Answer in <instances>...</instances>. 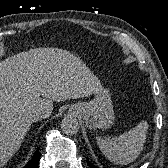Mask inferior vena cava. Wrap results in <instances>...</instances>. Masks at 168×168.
Segmentation results:
<instances>
[{
	"label": "inferior vena cava",
	"instance_id": "inferior-vena-cava-1",
	"mask_svg": "<svg viewBox=\"0 0 168 168\" xmlns=\"http://www.w3.org/2000/svg\"><path fill=\"white\" fill-rule=\"evenodd\" d=\"M51 112L45 106H39L31 109L28 113V117L31 121H38L43 118L49 117Z\"/></svg>",
	"mask_w": 168,
	"mask_h": 168
}]
</instances>
